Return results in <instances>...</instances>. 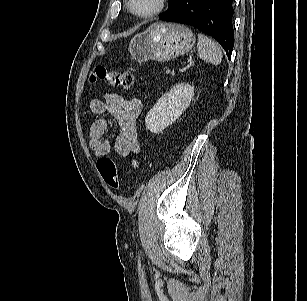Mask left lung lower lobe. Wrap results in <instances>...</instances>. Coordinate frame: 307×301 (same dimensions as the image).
I'll return each mask as SVG.
<instances>
[{
    "mask_svg": "<svg viewBox=\"0 0 307 301\" xmlns=\"http://www.w3.org/2000/svg\"><path fill=\"white\" fill-rule=\"evenodd\" d=\"M232 0H180L160 20L194 26L215 38L231 58L234 47Z\"/></svg>",
    "mask_w": 307,
    "mask_h": 301,
    "instance_id": "obj_1",
    "label": "left lung lower lobe"
}]
</instances>
